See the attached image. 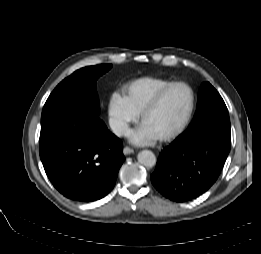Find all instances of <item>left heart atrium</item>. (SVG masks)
Here are the masks:
<instances>
[{"mask_svg": "<svg viewBox=\"0 0 261 254\" xmlns=\"http://www.w3.org/2000/svg\"><path fill=\"white\" fill-rule=\"evenodd\" d=\"M129 140L137 145H146L154 140V137L142 126L128 134Z\"/></svg>", "mask_w": 261, "mask_h": 254, "instance_id": "left-heart-atrium-1", "label": "left heart atrium"}]
</instances>
